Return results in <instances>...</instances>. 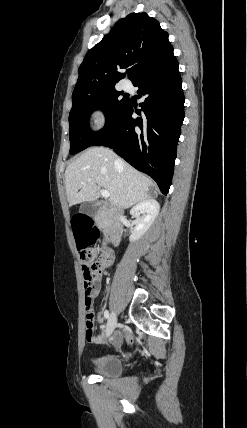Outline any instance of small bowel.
<instances>
[{"label": "small bowel", "instance_id": "obj_1", "mask_svg": "<svg viewBox=\"0 0 247 428\" xmlns=\"http://www.w3.org/2000/svg\"><path fill=\"white\" fill-rule=\"evenodd\" d=\"M102 259H103V262H104V266H110L113 263V261H114V256H113V254H112L111 251L106 250L104 252V254H103V258ZM100 290H101V277H100V279L98 281H96L91 286L88 298L85 297V305L87 303V300H89V302L92 305L93 304V300L97 297V295L99 294ZM86 338H87V336H86ZM122 338H123L122 334H118V335H116L112 339V342L115 343V344H119L122 341ZM87 341L90 342V343H94V344L102 343L103 342V335H95L94 338H93V340L90 341L87 338Z\"/></svg>", "mask_w": 247, "mask_h": 428}]
</instances>
